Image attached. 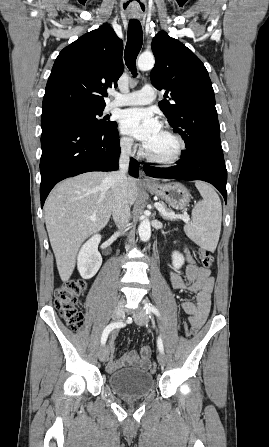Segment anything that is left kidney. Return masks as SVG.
Returning <instances> with one entry per match:
<instances>
[{
  "label": "left kidney",
  "instance_id": "obj_1",
  "mask_svg": "<svg viewBox=\"0 0 269 447\" xmlns=\"http://www.w3.org/2000/svg\"><path fill=\"white\" fill-rule=\"evenodd\" d=\"M172 263L174 269H180L181 265L184 263V257L182 253H179V251H173L172 253Z\"/></svg>",
  "mask_w": 269,
  "mask_h": 447
}]
</instances>
